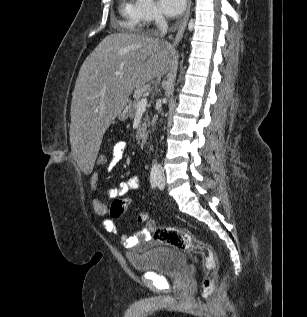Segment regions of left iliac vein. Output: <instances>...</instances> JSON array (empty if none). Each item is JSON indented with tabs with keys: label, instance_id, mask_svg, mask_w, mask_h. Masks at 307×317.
Wrapping results in <instances>:
<instances>
[{
	"label": "left iliac vein",
	"instance_id": "1",
	"mask_svg": "<svg viewBox=\"0 0 307 317\" xmlns=\"http://www.w3.org/2000/svg\"><path fill=\"white\" fill-rule=\"evenodd\" d=\"M165 185V181L162 175L159 176L158 178V187L159 189H163Z\"/></svg>",
	"mask_w": 307,
	"mask_h": 317
}]
</instances>
